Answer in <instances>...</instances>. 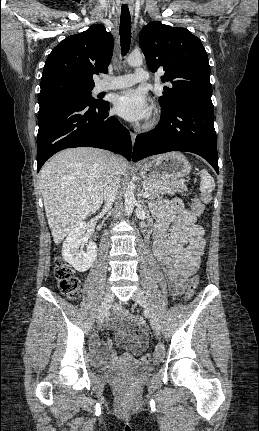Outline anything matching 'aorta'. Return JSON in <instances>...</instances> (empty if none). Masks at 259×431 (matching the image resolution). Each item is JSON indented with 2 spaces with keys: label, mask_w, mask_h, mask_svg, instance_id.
<instances>
[{
  "label": "aorta",
  "mask_w": 259,
  "mask_h": 431,
  "mask_svg": "<svg viewBox=\"0 0 259 431\" xmlns=\"http://www.w3.org/2000/svg\"><path fill=\"white\" fill-rule=\"evenodd\" d=\"M127 63L130 66H133V67H139V66H141L142 63H143L142 55L141 54H131V55H129L127 57ZM134 188H135L134 183L130 182L127 185V189H126V192L124 194V198H125V211H126V213H127L128 216L132 213L134 205H135V202H136L135 196H134Z\"/></svg>",
  "instance_id": "aorta-1"
}]
</instances>
